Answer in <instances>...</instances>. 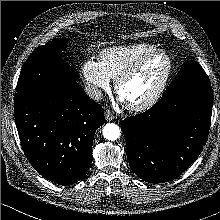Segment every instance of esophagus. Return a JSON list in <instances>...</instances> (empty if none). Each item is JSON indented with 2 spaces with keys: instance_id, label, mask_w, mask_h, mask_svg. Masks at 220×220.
Here are the masks:
<instances>
[{
  "instance_id": "esophagus-1",
  "label": "esophagus",
  "mask_w": 220,
  "mask_h": 220,
  "mask_svg": "<svg viewBox=\"0 0 220 220\" xmlns=\"http://www.w3.org/2000/svg\"><path fill=\"white\" fill-rule=\"evenodd\" d=\"M105 119L107 121H111V120L115 119V116L110 110H106L105 111Z\"/></svg>"
}]
</instances>
